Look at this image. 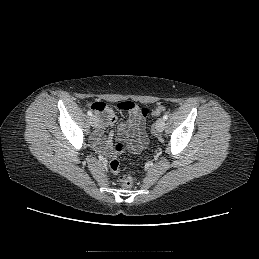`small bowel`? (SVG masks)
<instances>
[{
	"label": "small bowel",
	"instance_id": "1",
	"mask_svg": "<svg viewBox=\"0 0 259 259\" xmlns=\"http://www.w3.org/2000/svg\"><path fill=\"white\" fill-rule=\"evenodd\" d=\"M94 110V109H93ZM98 114L100 125L95 132L92 140L96 148L100 151H108L113 138V133L109 132L107 138L102 136L108 127H113L116 123V115L113 109L104 103L102 110H94ZM128 117L118 126V137L122 142L129 145L133 152L141 151L147 144V136L145 132V117L136 105L133 109L125 110Z\"/></svg>",
	"mask_w": 259,
	"mask_h": 259
}]
</instances>
